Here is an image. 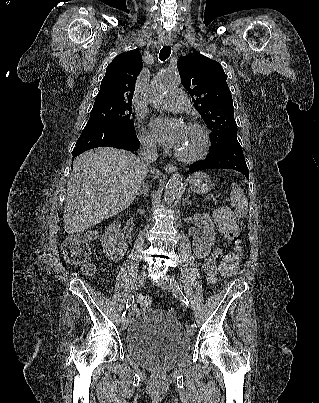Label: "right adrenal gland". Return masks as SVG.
I'll list each match as a JSON object with an SVG mask.
<instances>
[{"label": "right adrenal gland", "instance_id": "obj_1", "mask_svg": "<svg viewBox=\"0 0 319 403\" xmlns=\"http://www.w3.org/2000/svg\"><path fill=\"white\" fill-rule=\"evenodd\" d=\"M149 192V186L147 183L143 182L142 184V188L139 190V192L137 193L138 196H141L143 194V196H147Z\"/></svg>", "mask_w": 319, "mask_h": 403}]
</instances>
